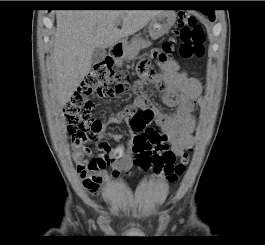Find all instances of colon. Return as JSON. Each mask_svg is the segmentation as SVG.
Segmentation results:
<instances>
[{"label": "colon", "mask_w": 265, "mask_h": 245, "mask_svg": "<svg viewBox=\"0 0 265 245\" xmlns=\"http://www.w3.org/2000/svg\"><path fill=\"white\" fill-rule=\"evenodd\" d=\"M178 39L164 44L157 54V61L164 62L166 54L176 46L183 58L200 57L204 53L205 34L197 19L185 12L178 16L175 29ZM138 79L135 86L142 90L152 83L156 75L150 68V62L141 61L137 68ZM132 75L117 72L111 59L102 60L87 74L84 82L73 94L64 108V115L72 138L82 145L96 141L100 148L114 150L98 137L100 125L91 115V109L100 99H111L126 92L131 86ZM152 118L140 110L129 120L134 133L132 152L134 165L141 171L153 170L164 174L169 181L175 182L181 177L189 163V151L180 156L176 163V155L169 149L166 136L150 126Z\"/></svg>", "instance_id": "5ec220e1"}]
</instances>
